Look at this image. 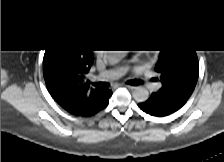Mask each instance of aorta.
I'll return each instance as SVG.
<instances>
[{"mask_svg":"<svg viewBox=\"0 0 224 162\" xmlns=\"http://www.w3.org/2000/svg\"><path fill=\"white\" fill-rule=\"evenodd\" d=\"M110 53H115L116 55H109L108 60L111 63H117L120 60V51H112ZM132 96L136 102H145L149 98V92L144 87H136L133 92Z\"/></svg>","mask_w":224,"mask_h":162,"instance_id":"762f6f07","label":"aorta"}]
</instances>
